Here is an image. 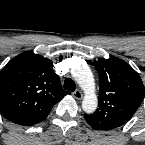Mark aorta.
I'll return each instance as SVG.
<instances>
[{
    "mask_svg": "<svg viewBox=\"0 0 145 145\" xmlns=\"http://www.w3.org/2000/svg\"><path fill=\"white\" fill-rule=\"evenodd\" d=\"M72 76L79 86L83 89L85 96L82 101V108L86 113H92L98 105L95 94V82L93 74L89 67L78 65L72 69Z\"/></svg>",
    "mask_w": 145,
    "mask_h": 145,
    "instance_id": "1",
    "label": "aorta"
}]
</instances>
